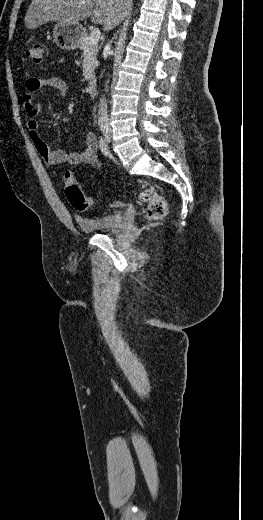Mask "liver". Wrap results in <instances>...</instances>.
<instances>
[{
	"label": "liver",
	"instance_id": "6515ba94",
	"mask_svg": "<svg viewBox=\"0 0 263 520\" xmlns=\"http://www.w3.org/2000/svg\"><path fill=\"white\" fill-rule=\"evenodd\" d=\"M130 0H32L25 16L28 29L48 21L78 23L88 17L109 31L125 17Z\"/></svg>",
	"mask_w": 263,
	"mask_h": 520
}]
</instances>
